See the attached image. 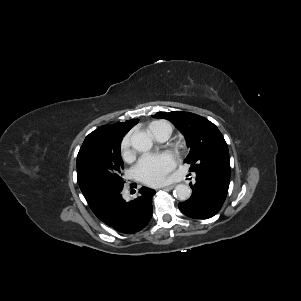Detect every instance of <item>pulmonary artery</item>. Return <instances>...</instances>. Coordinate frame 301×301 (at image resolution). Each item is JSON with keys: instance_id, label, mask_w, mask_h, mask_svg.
Segmentation results:
<instances>
[{"instance_id": "1", "label": "pulmonary artery", "mask_w": 301, "mask_h": 301, "mask_svg": "<svg viewBox=\"0 0 301 301\" xmlns=\"http://www.w3.org/2000/svg\"><path fill=\"white\" fill-rule=\"evenodd\" d=\"M172 128L168 123H161L153 128V136L157 141L165 142L169 139Z\"/></svg>"}]
</instances>
